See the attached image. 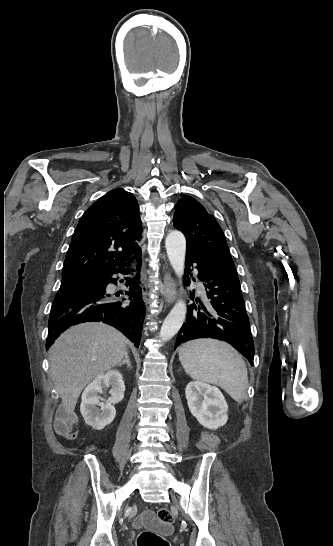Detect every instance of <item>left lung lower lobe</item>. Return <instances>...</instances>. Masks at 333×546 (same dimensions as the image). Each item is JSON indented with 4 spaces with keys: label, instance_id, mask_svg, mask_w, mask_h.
Wrapping results in <instances>:
<instances>
[{
    "label": "left lung lower lobe",
    "instance_id": "left-lung-lower-lobe-1",
    "mask_svg": "<svg viewBox=\"0 0 333 546\" xmlns=\"http://www.w3.org/2000/svg\"><path fill=\"white\" fill-rule=\"evenodd\" d=\"M193 264L206 289L207 300L204 303L196 300L187 310L175 349L188 340L217 338L231 344L253 366L254 342L236 269L214 267L186 248L185 266L189 273Z\"/></svg>",
    "mask_w": 333,
    "mask_h": 546
}]
</instances>
